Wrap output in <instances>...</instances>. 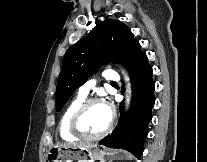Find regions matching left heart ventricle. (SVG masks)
<instances>
[{"label": "left heart ventricle", "instance_id": "left-heart-ventricle-1", "mask_svg": "<svg viewBox=\"0 0 207 162\" xmlns=\"http://www.w3.org/2000/svg\"><path fill=\"white\" fill-rule=\"evenodd\" d=\"M110 120V111L104 104L92 105L83 115L81 129L89 135L102 132Z\"/></svg>", "mask_w": 207, "mask_h": 162}]
</instances>
